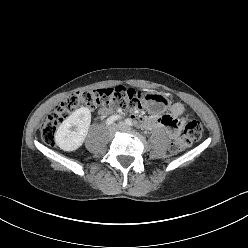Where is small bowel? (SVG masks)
<instances>
[{
	"label": "small bowel",
	"instance_id": "c3829d8e",
	"mask_svg": "<svg viewBox=\"0 0 248 248\" xmlns=\"http://www.w3.org/2000/svg\"><path fill=\"white\" fill-rule=\"evenodd\" d=\"M107 109L100 110V114H106ZM185 108L181 103H175L171 107V114L165 115L158 118H145L139 115H134L131 118L139 123H141L146 128L159 127L163 128L169 138H177L183 129L185 122Z\"/></svg>",
	"mask_w": 248,
	"mask_h": 248
}]
</instances>
